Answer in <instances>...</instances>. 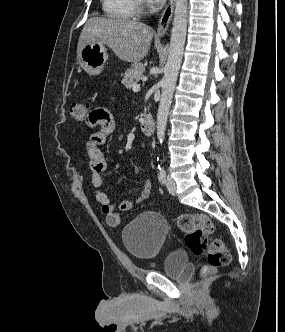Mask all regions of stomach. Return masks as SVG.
Masks as SVG:
<instances>
[{
    "label": "stomach",
    "mask_w": 285,
    "mask_h": 332,
    "mask_svg": "<svg viewBox=\"0 0 285 332\" xmlns=\"http://www.w3.org/2000/svg\"><path fill=\"white\" fill-rule=\"evenodd\" d=\"M108 59L105 45L100 43H88L81 50L78 62L89 75H98L103 70Z\"/></svg>",
    "instance_id": "obj_1"
}]
</instances>
